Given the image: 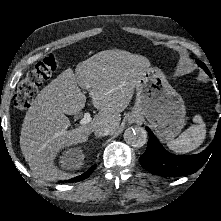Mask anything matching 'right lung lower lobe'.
I'll return each mask as SVG.
<instances>
[{
	"mask_svg": "<svg viewBox=\"0 0 221 221\" xmlns=\"http://www.w3.org/2000/svg\"><path fill=\"white\" fill-rule=\"evenodd\" d=\"M96 168V164H94L87 172L83 173L82 175L72 178L69 181L71 182H77V181H81L83 179H86L90 176V174L93 172V170ZM63 182V181H60Z\"/></svg>",
	"mask_w": 221,
	"mask_h": 221,
	"instance_id": "right-lung-lower-lobe-1",
	"label": "right lung lower lobe"
}]
</instances>
